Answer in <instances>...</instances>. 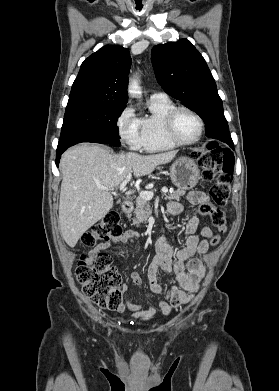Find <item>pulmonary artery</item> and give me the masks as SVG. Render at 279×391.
<instances>
[{
  "label": "pulmonary artery",
  "instance_id": "pulmonary-artery-1",
  "mask_svg": "<svg viewBox=\"0 0 279 391\" xmlns=\"http://www.w3.org/2000/svg\"><path fill=\"white\" fill-rule=\"evenodd\" d=\"M166 94L162 93V92H155L151 95V98H159V97H165Z\"/></svg>",
  "mask_w": 279,
  "mask_h": 391
}]
</instances>
